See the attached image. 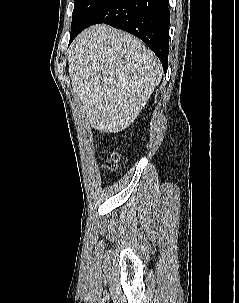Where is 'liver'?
I'll return each instance as SVG.
<instances>
[{
  "label": "liver",
  "instance_id": "obj_1",
  "mask_svg": "<svg viewBox=\"0 0 239 303\" xmlns=\"http://www.w3.org/2000/svg\"><path fill=\"white\" fill-rule=\"evenodd\" d=\"M72 91L92 127L117 133L137 118L162 77L155 54L111 26L81 32L68 55Z\"/></svg>",
  "mask_w": 239,
  "mask_h": 303
}]
</instances>
